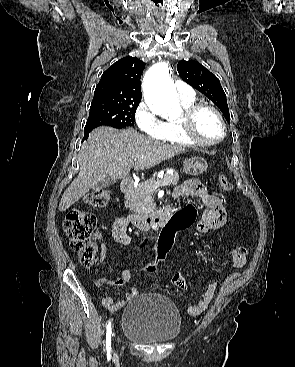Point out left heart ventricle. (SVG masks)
<instances>
[{"instance_id":"b2bd125f","label":"left heart ventricle","mask_w":295,"mask_h":367,"mask_svg":"<svg viewBox=\"0 0 295 367\" xmlns=\"http://www.w3.org/2000/svg\"><path fill=\"white\" fill-rule=\"evenodd\" d=\"M196 132L201 139L213 141L221 136L222 126L212 111L203 109L196 119Z\"/></svg>"}]
</instances>
